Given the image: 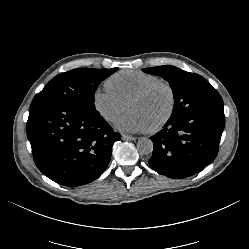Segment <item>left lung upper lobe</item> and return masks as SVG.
<instances>
[{"mask_svg": "<svg viewBox=\"0 0 249 249\" xmlns=\"http://www.w3.org/2000/svg\"><path fill=\"white\" fill-rule=\"evenodd\" d=\"M169 82L174 95V109L170 118L183 117L197 110L223 107L217 90L202 76L165 65L142 69Z\"/></svg>", "mask_w": 249, "mask_h": 249, "instance_id": "left-lung-upper-lobe-1", "label": "left lung upper lobe"}]
</instances>
